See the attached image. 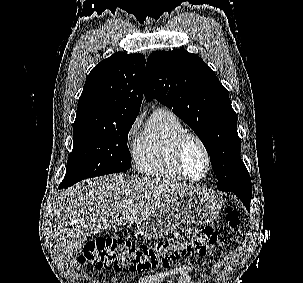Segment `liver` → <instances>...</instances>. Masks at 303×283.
<instances>
[{"label": "liver", "mask_w": 303, "mask_h": 283, "mask_svg": "<svg viewBox=\"0 0 303 283\" xmlns=\"http://www.w3.org/2000/svg\"><path fill=\"white\" fill-rule=\"evenodd\" d=\"M197 192L179 182L122 174L86 180L60 195L55 236L64 256L71 259L91 235L138 223L174 199Z\"/></svg>", "instance_id": "1"}]
</instances>
